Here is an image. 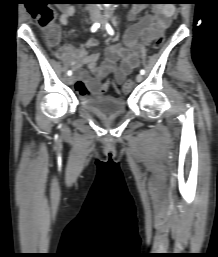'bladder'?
I'll return each instance as SVG.
<instances>
[{
    "mask_svg": "<svg viewBox=\"0 0 218 257\" xmlns=\"http://www.w3.org/2000/svg\"><path fill=\"white\" fill-rule=\"evenodd\" d=\"M86 108L102 117H113L125 112V100L103 95L87 100Z\"/></svg>",
    "mask_w": 218,
    "mask_h": 257,
    "instance_id": "obj_1",
    "label": "bladder"
}]
</instances>
